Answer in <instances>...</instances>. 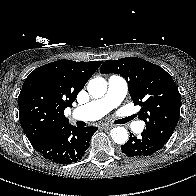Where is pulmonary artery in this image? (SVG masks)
<instances>
[{
	"instance_id": "e3ab8cb5",
	"label": "pulmonary artery",
	"mask_w": 196,
	"mask_h": 196,
	"mask_svg": "<svg viewBox=\"0 0 196 196\" xmlns=\"http://www.w3.org/2000/svg\"><path fill=\"white\" fill-rule=\"evenodd\" d=\"M127 90V82L123 77L111 75L107 81V91L105 95L75 108L72 111V116L75 119L83 121L100 119L122 103L127 94ZM140 128V123H137L135 130H139Z\"/></svg>"
}]
</instances>
